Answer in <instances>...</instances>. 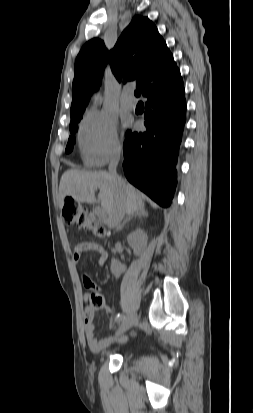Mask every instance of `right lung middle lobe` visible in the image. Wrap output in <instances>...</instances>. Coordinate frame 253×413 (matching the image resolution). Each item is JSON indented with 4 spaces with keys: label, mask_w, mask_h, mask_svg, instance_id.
Returning a JSON list of instances; mask_svg holds the SVG:
<instances>
[{
    "label": "right lung middle lobe",
    "mask_w": 253,
    "mask_h": 413,
    "mask_svg": "<svg viewBox=\"0 0 253 413\" xmlns=\"http://www.w3.org/2000/svg\"><path fill=\"white\" fill-rule=\"evenodd\" d=\"M82 116L75 118L74 120H71L70 123V132L72 136L69 137L68 144L66 147V153H70L73 149V144L75 143V132L78 130V127L76 123H78L81 120Z\"/></svg>",
    "instance_id": "right-lung-middle-lobe-1"
}]
</instances>
